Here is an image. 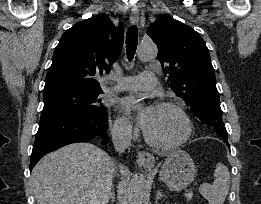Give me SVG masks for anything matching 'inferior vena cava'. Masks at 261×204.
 <instances>
[{"label":"inferior vena cava","instance_id":"602c4592","mask_svg":"<svg viewBox=\"0 0 261 204\" xmlns=\"http://www.w3.org/2000/svg\"><path fill=\"white\" fill-rule=\"evenodd\" d=\"M112 141L117 152L124 153L131 144V131L128 127H116L112 129Z\"/></svg>","mask_w":261,"mask_h":204}]
</instances>
